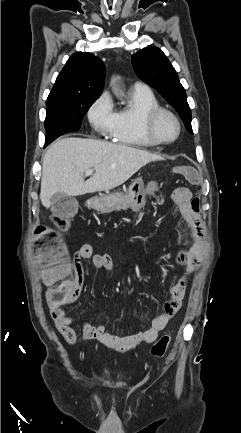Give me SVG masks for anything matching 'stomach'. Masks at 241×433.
I'll list each match as a JSON object with an SVG mask.
<instances>
[{
  "mask_svg": "<svg viewBox=\"0 0 241 433\" xmlns=\"http://www.w3.org/2000/svg\"><path fill=\"white\" fill-rule=\"evenodd\" d=\"M159 191L156 182H150L144 186L143 179L137 178L127 190L124 192L115 191L99 194L90 199V206L98 211L111 212L116 209L117 205L121 202L127 203L133 209L140 208L146 203V196H156Z\"/></svg>",
  "mask_w": 241,
  "mask_h": 433,
  "instance_id": "1",
  "label": "stomach"
}]
</instances>
